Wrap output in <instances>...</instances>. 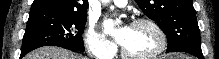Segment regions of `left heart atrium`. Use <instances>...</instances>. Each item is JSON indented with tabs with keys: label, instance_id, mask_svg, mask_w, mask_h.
I'll list each match as a JSON object with an SVG mask.
<instances>
[{
	"label": "left heart atrium",
	"instance_id": "obj_1",
	"mask_svg": "<svg viewBox=\"0 0 219 59\" xmlns=\"http://www.w3.org/2000/svg\"><path fill=\"white\" fill-rule=\"evenodd\" d=\"M105 28L106 31L111 34L115 38V40L121 45L125 43L131 30L130 26H124L118 30H114L110 21H107L105 23Z\"/></svg>",
	"mask_w": 219,
	"mask_h": 59
}]
</instances>
